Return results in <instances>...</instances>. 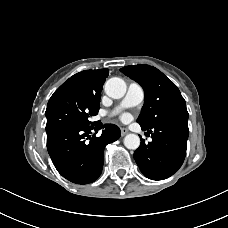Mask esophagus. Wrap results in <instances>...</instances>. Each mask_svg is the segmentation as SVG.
<instances>
[{"label": "esophagus", "mask_w": 228, "mask_h": 228, "mask_svg": "<svg viewBox=\"0 0 228 228\" xmlns=\"http://www.w3.org/2000/svg\"><path fill=\"white\" fill-rule=\"evenodd\" d=\"M128 132L127 128H121V136H125Z\"/></svg>", "instance_id": "34e87169"}]
</instances>
